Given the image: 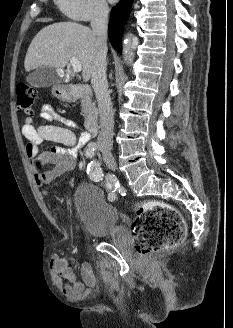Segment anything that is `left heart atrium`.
<instances>
[{"label": "left heart atrium", "mask_w": 233, "mask_h": 328, "mask_svg": "<svg viewBox=\"0 0 233 328\" xmlns=\"http://www.w3.org/2000/svg\"><path fill=\"white\" fill-rule=\"evenodd\" d=\"M110 2H115V1H117V0H109Z\"/></svg>", "instance_id": "1"}]
</instances>
